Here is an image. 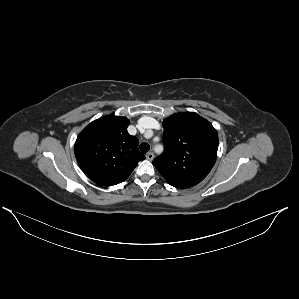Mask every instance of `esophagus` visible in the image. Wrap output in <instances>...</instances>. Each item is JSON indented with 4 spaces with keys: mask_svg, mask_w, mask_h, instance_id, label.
Segmentation results:
<instances>
[{
    "mask_svg": "<svg viewBox=\"0 0 299 299\" xmlns=\"http://www.w3.org/2000/svg\"><path fill=\"white\" fill-rule=\"evenodd\" d=\"M146 158H147L148 160L152 161L153 158H154V153H153V152H149V153H147V154H146Z\"/></svg>",
    "mask_w": 299,
    "mask_h": 299,
    "instance_id": "34e87169",
    "label": "esophagus"
}]
</instances>
